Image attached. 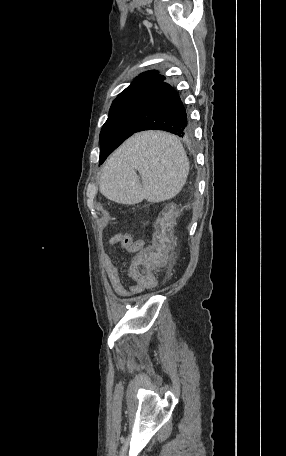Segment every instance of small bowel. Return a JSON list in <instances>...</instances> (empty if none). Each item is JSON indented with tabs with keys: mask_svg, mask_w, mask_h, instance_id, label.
Masks as SVG:
<instances>
[{
	"mask_svg": "<svg viewBox=\"0 0 286 456\" xmlns=\"http://www.w3.org/2000/svg\"><path fill=\"white\" fill-rule=\"evenodd\" d=\"M110 245L113 247L120 245L129 252H135L137 251V248L139 246L144 245V242L141 239L132 238V236H130L129 234L120 233L116 234L110 239ZM103 267L108 277L110 286L118 297L126 299L142 291L138 290L134 284L130 285L128 288H125L120 277L119 271L112 261L110 253L104 254Z\"/></svg>",
	"mask_w": 286,
	"mask_h": 456,
	"instance_id": "obj_1",
	"label": "small bowel"
}]
</instances>
